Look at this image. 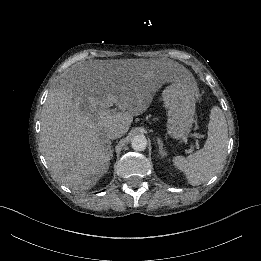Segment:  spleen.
<instances>
[{"label":"spleen","instance_id":"spleen-1","mask_svg":"<svg viewBox=\"0 0 261 261\" xmlns=\"http://www.w3.org/2000/svg\"><path fill=\"white\" fill-rule=\"evenodd\" d=\"M228 150V126L223 111L218 106L211 109L208 138L204 148L187 158H173L175 167L183 171L192 186L209 181L223 168Z\"/></svg>","mask_w":261,"mask_h":261}]
</instances>
